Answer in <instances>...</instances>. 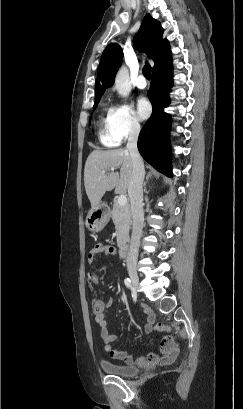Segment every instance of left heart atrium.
I'll return each mask as SVG.
<instances>
[{
    "instance_id": "left-heart-atrium-1",
    "label": "left heart atrium",
    "mask_w": 243,
    "mask_h": 409,
    "mask_svg": "<svg viewBox=\"0 0 243 409\" xmlns=\"http://www.w3.org/2000/svg\"><path fill=\"white\" fill-rule=\"evenodd\" d=\"M151 113V105L145 97H140L136 104V116L140 120L146 119Z\"/></svg>"
}]
</instances>
